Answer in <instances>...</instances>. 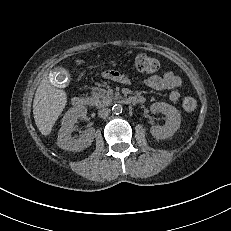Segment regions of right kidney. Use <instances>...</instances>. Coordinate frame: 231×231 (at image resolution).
<instances>
[{
	"mask_svg": "<svg viewBox=\"0 0 231 231\" xmlns=\"http://www.w3.org/2000/svg\"><path fill=\"white\" fill-rule=\"evenodd\" d=\"M86 116V111L78 108H70L62 119V126L59 130L57 145L67 151H82L89 147L94 139L95 129L85 130L78 139H73L71 133L75 131V123L78 118Z\"/></svg>",
	"mask_w": 231,
	"mask_h": 231,
	"instance_id": "ca27d5eb",
	"label": "right kidney"
}]
</instances>
